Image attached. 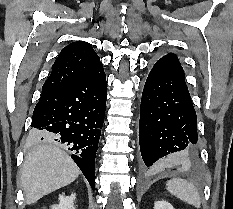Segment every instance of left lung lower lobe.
<instances>
[{"label":"left lung lower lobe","mask_w":233,"mask_h":209,"mask_svg":"<svg viewBox=\"0 0 233 209\" xmlns=\"http://www.w3.org/2000/svg\"><path fill=\"white\" fill-rule=\"evenodd\" d=\"M197 117L175 54L151 69L141 99L139 143L147 170L197 162Z\"/></svg>","instance_id":"left-lung-lower-lobe-1"}]
</instances>
